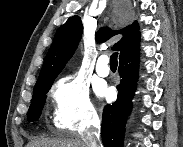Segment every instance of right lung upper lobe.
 I'll use <instances>...</instances> for the list:
<instances>
[{
  "mask_svg": "<svg viewBox=\"0 0 183 147\" xmlns=\"http://www.w3.org/2000/svg\"><path fill=\"white\" fill-rule=\"evenodd\" d=\"M82 30V22L79 16L70 17L57 30L52 46L42 66L39 78L35 84L34 91L52 86L53 81L77 48ZM118 33H122L123 38L113 46V49L120 51V58L139 50L140 32L137 22L117 32L106 28L101 29L100 32L97 33L96 39L102 42Z\"/></svg>",
  "mask_w": 183,
  "mask_h": 147,
  "instance_id": "cb5924a9",
  "label": "right lung upper lobe"
}]
</instances>
